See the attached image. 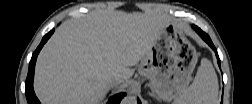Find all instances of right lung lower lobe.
<instances>
[{
  "label": "right lung lower lobe",
  "mask_w": 252,
  "mask_h": 104,
  "mask_svg": "<svg viewBox=\"0 0 252 104\" xmlns=\"http://www.w3.org/2000/svg\"><path fill=\"white\" fill-rule=\"evenodd\" d=\"M53 32H54V29L51 30L49 33H47L43 37L41 43L39 44V46L37 47V49L33 53L32 58L30 60L28 75H27V78L25 81V93H26V98H27L28 104H40V102L37 99V97L34 93V90H33V78H34L35 63H36V59H37V56H38L41 48L47 42V40L50 38V36L53 34ZM124 96H125V93L116 94L115 96H113L109 99L108 104H119Z\"/></svg>",
  "instance_id": "98d812e1"
}]
</instances>
